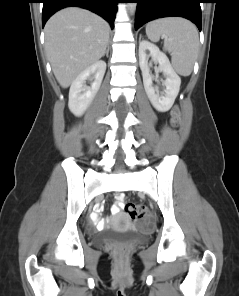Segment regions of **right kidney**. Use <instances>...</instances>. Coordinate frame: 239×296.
<instances>
[{"instance_id": "obj_1", "label": "right kidney", "mask_w": 239, "mask_h": 296, "mask_svg": "<svg viewBox=\"0 0 239 296\" xmlns=\"http://www.w3.org/2000/svg\"><path fill=\"white\" fill-rule=\"evenodd\" d=\"M105 71L106 63L100 60L82 71L72 82L68 106L74 115L81 116L86 111L100 88ZM87 80L92 81L91 86L86 85Z\"/></svg>"}]
</instances>
